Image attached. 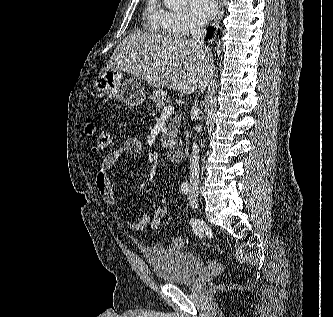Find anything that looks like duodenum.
<instances>
[{
	"mask_svg": "<svg viewBox=\"0 0 333 317\" xmlns=\"http://www.w3.org/2000/svg\"><path fill=\"white\" fill-rule=\"evenodd\" d=\"M184 146L180 139H174L167 145V157L171 162H180L183 159Z\"/></svg>",
	"mask_w": 333,
	"mask_h": 317,
	"instance_id": "1",
	"label": "duodenum"
}]
</instances>
